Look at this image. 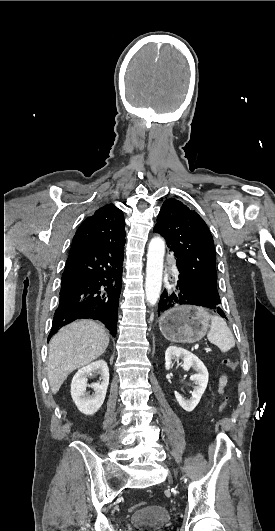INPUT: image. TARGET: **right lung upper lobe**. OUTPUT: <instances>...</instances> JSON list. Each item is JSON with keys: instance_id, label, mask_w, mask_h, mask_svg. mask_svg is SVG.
Instances as JSON below:
<instances>
[{"instance_id": "1", "label": "right lung upper lobe", "mask_w": 275, "mask_h": 531, "mask_svg": "<svg viewBox=\"0 0 275 531\" xmlns=\"http://www.w3.org/2000/svg\"><path fill=\"white\" fill-rule=\"evenodd\" d=\"M123 212L113 204L98 209L87 217L76 231L70 253L85 250L104 242L125 241Z\"/></svg>"}]
</instances>
